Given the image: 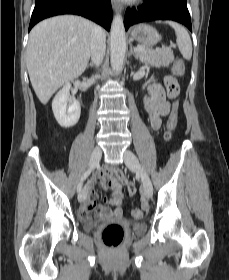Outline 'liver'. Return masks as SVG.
Returning a JSON list of instances; mask_svg holds the SVG:
<instances>
[{"instance_id":"6515ba94","label":"liver","mask_w":229,"mask_h":280,"mask_svg":"<svg viewBox=\"0 0 229 280\" xmlns=\"http://www.w3.org/2000/svg\"><path fill=\"white\" fill-rule=\"evenodd\" d=\"M93 27L87 19L63 15L46 19L31 30L26 63L32 87L43 105L61 86L85 71Z\"/></svg>"}]
</instances>
